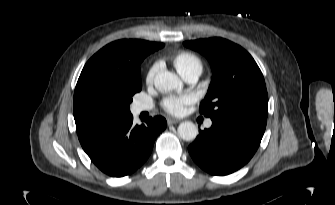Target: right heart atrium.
<instances>
[{
  "mask_svg": "<svg viewBox=\"0 0 335 205\" xmlns=\"http://www.w3.org/2000/svg\"><path fill=\"white\" fill-rule=\"evenodd\" d=\"M157 70H158V64H153L147 71L146 82L148 84H151L154 81Z\"/></svg>",
  "mask_w": 335,
  "mask_h": 205,
  "instance_id": "obj_1",
  "label": "right heart atrium"
}]
</instances>
